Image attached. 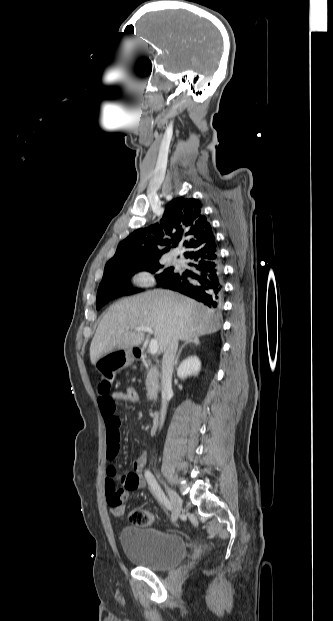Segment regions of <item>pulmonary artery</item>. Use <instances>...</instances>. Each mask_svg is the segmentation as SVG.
Listing matches in <instances>:
<instances>
[{"label":"pulmonary artery","instance_id":"1","mask_svg":"<svg viewBox=\"0 0 333 621\" xmlns=\"http://www.w3.org/2000/svg\"><path fill=\"white\" fill-rule=\"evenodd\" d=\"M173 261H174V262H177V263H179V262H180V260H178V259H176V258H174V260H173Z\"/></svg>","mask_w":333,"mask_h":621}]
</instances>
